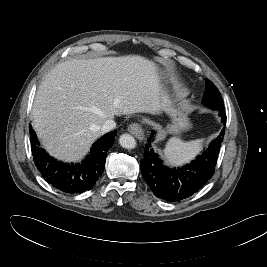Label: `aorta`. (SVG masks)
Returning a JSON list of instances; mask_svg holds the SVG:
<instances>
[{
    "instance_id": "1",
    "label": "aorta",
    "mask_w": 267,
    "mask_h": 267,
    "mask_svg": "<svg viewBox=\"0 0 267 267\" xmlns=\"http://www.w3.org/2000/svg\"><path fill=\"white\" fill-rule=\"evenodd\" d=\"M119 144L125 149H134L136 147V140L130 134H122L119 138Z\"/></svg>"
}]
</instances>
